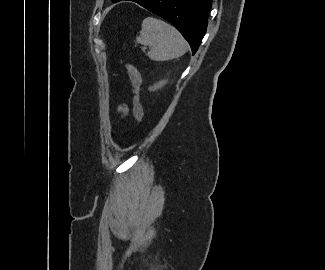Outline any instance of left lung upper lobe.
Masks as SVG:
<instances>
[{
	"label": "left lung upper lobe",
	"instance_id": "obj_1",
	"mask_svg": "<svg viewBox=\"0 0 325 270\" xmlns=\"http://www.w3.org/2000/svg\"><path fill=\"white\" fill-rule=\"evenodd\" d=\"M113 2H117V1H119V0H112Z\"/></svg>",
	"mask_w": 325,
	"mask_h": 270
}]
</instances>
